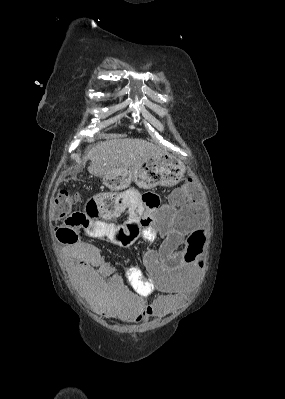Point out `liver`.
<instances>
[{
	"label": "liver",
	"mask_w": 285,
	"mask_h": 399,
	"mask_svg": "<svg viewBox=\"0 0 285 399\" xmlns=\"http://www.w3.org/2000/svg\"><path fill=\"white\" fill-rule=\"evenodd\" d=\"M165 152L153 143L142 139H111L97 143L83 157V166L89 159L90 174L96 177L133 168L145 160Z\"/></svg>",
	"instance_id": "liver-1"
}]
</instances>
